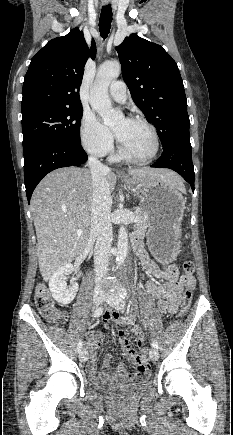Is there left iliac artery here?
<instances>
[{"instance_id":"obj_1","label":"left iliac artery","mask_w":233,"mask_h":435,"mask_svg":"<svg viewBox=\"0 0 233 435\" xmlns=\"http://www.w3.org/2000/svg\"><path fill=\"white\" fill-rule=\"evenodd\" d=\"M119 295H120V297L123 298V299L127 298V291H126V289H125L124 287H121V288H120V290H119ZM130 302H131V301H130ZM152 346H153L154 348L158 349V343H157L156 340H153V341H152Z\"/></svg>"}]
</instances>
